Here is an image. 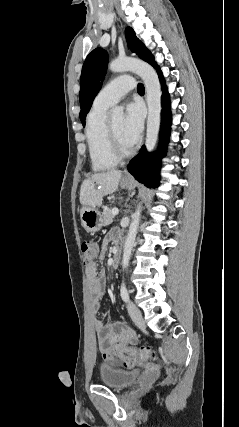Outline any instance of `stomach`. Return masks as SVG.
Here are the masks:
<instances>
[{
  "label": "stomach",
  "mask_w": 239,
  "mask_h": 427,
  "mask_svg": "<svg viewBox=\"0 0 239 427\" xmlns=\"http://www.w3.org/2000/svg\"><path fill=\"white\" fill-rule=\"evenodd\" d=\"M121 187L129 189L134 186L133 182H121ZM82 226L87 232L95 233L103 226L102 214L95 207L84 206L80 211Z\"/></svg>",
  "instance_id": "0dacf381"
}]
</instances>
